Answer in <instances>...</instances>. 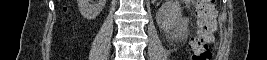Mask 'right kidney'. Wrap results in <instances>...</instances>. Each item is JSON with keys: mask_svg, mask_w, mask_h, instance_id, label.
<instances>
[{"mask_svg": "<svg viewBox=\"0 0 267 60\" xmlns=\"http://www.w3.org/2000/svg\"><path fill=\"white\" fill-rule=\"evenodd\" d=\"M92 0H77L81 15L88 19H95L105 6L106 0H96V4H90Z\"/></svg>", "mask_w": 267, "mask_h": 60, "instance_id": "ca27d5eb", "label": "right kidney"}]
</instances>
